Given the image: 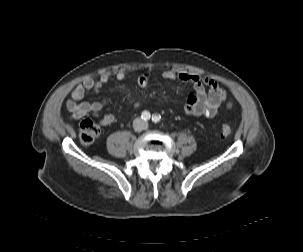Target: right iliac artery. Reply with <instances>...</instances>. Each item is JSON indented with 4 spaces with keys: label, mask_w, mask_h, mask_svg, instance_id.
I'll list each match as a JSON object with an SVG mask.
<instances>
[{
    "label": "right iliac artery",
    "mask_w": 303,
    "mask_h": 252,
    "mask_svg": "<svg viewBox=\"0 0 303 252\" xmlns=\"http://www.w3.org/2000/svg\"><path fill=\"white\" fill-rule=\"evenodd\" d=\"M150 117H151V115H150V113H149L148 111L142 112L141 118H142L144 121L149 120Z\"/></svg>",
    "instance_id": "1"
}]
</instances>
